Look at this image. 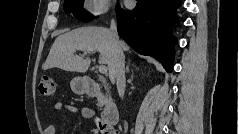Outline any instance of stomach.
I'll return each mask as SVG.
<instances>
[{"label":"stomach","instance_id":"obj_1","mask_svg":"<svg viewBox=\"0 0 239 134\" xmlns=\"http://www.w3.org/2000/svg\"><path fill=\"white\" fill-rule=\"evenodd\" d=\"M71 88L76 94H84L88 90V84L85 78L76 77L71 83Z\"/></svg>","mask_w":239,"mask_h":134}]
</instances>
